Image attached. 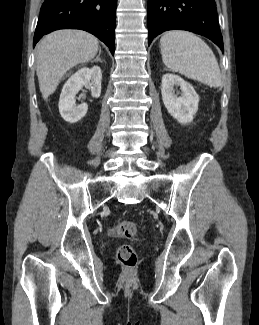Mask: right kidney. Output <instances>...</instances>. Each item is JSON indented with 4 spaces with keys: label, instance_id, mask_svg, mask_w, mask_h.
<instances>
[{
    "label": "right kidney",
    "instance_id": "obj_1",
    "mask_svg": "<svg viewBox=\"0 0 259 325\" xmlns=\"http://www.w3.org/2000/svg\"><path fill=\"white\" fill-rule=\"evenodd\" d=\"M101 80L102 73L98 66L81 68L68 79L59 99V111L64 120L76 123L86 115L88 105L82 103L76 106L75 95L83 85L88 84L92 97L98 98L101 94Z\"/></svg>",
    "mask_w": 259,
    "mask_h": 325
}]
</instances>
